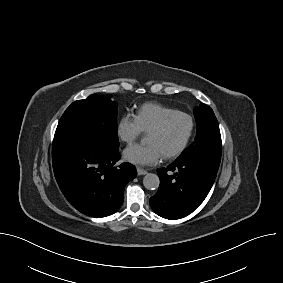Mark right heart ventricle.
<instances>
[{
	"label": "right heart ventricle",
	"mask_w": 283,
	"mask_h": 283,
	"mask_svg": "<svg viewBox=\"0 0 283 283\" xmlns=\"http://www.w3.org/2000/svg\"><path fill=\"white\" fill-rule=\"evenodd\" d=\"M177 110L156 102L143 104L136 112L135 116L143 132H148L156 126L165 116Z\"/></svg>",
	"instance_id": "obj_1"
}]
</instances>
